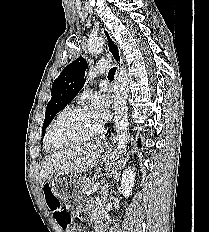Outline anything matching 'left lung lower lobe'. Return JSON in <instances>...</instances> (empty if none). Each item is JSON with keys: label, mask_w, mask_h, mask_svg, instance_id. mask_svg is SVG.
Masks as SVG:
<instances>
[{"label": "left lung lower lobe", "mask_w": 209, "mask_h": 232, "mask_svg": "<svg viewBox=\"0 0 209 232\" xmlns=\"http://www.w3.org/2000/svg\"><path fill=\"white\" fill-rule=\"evenodd\" d=\"M141 146V142H140V140H138V147H140Z\"/></svg>", "instance_id": "left-lung-lower-lobe-1"}]
</instances>
